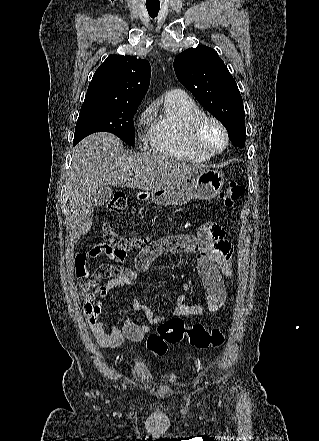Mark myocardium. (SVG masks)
Returning <instances> with one entry per match:
<instances>
[{
    "instance_id": "obj_1",
    "label": "myocardium",
    "mask_w": 319,
    "mask_h": 441,
    "mask_svg": "<svg viewBox=\"0 0 319 441\" xmlns=\"http://www.w3.org/2000/svg\"><path fill=\"white\" fill-rule=\"evenodd\" d=\"M210 125L215 126L222 134L223 141L219 148H211L207 146L203 140V133ZM189 140L191 146L204 154L214 156L223 152L229 144V135L224 124L212 116L203 115L197 118L191 125Z\"/></svg>"
}]
</instances>
